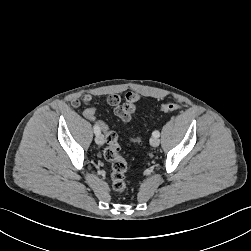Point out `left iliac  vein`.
I'll return each instance as SVG.
<instances>
[{"label":"left iliac vein","mask_w":251,"mask_h":251,"mask_svg":"<svg viewBox=\"0 0 251 251\" xmlns=\"http://www.w3.org/2000/svg\"><path fill=\"white\" fill-rule=\"evenodd\" d=\"M150 144H151L153 147H157V146L160 144V139H159L158 137L153 136V137L150 139Z\"/></svg>","instance_id":"obj_1"}]
</instances>
